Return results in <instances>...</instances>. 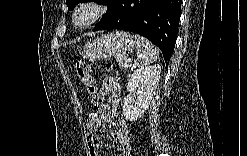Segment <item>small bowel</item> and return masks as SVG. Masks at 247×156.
Listing matches in <instances>:
<instances>
[{
    "mask_svg": "<svg viewBox=\"0 0 247 156\" xmlns=\"http://www.w3.org/2000/svg\"><path fill=\"white\" fill-rule=\"evenodd\" d=\"M120 95L121 87L119 83L113 77H106L99 90V97L104 98L103 106H100L99 112H91L84 125L88 150L92 156L98 154L101 141L96 134V130L103 124L115 123L117 128L113 133V138L119 153L124 155L129 150V126L117 112ZM109 105L113 108L111 115L107 113Z\"/></svg>",
    "mask_w": 247,
    "mask_h": 156,
    "instance_id": "c3829d8e",
    "label": "small bowel"
}]
</instances>
